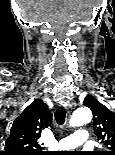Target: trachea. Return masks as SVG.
<instances>
[{
	"instance_id": "obj_1",
	"label": "trachea",
	"mask_w": 115,
	"mask_h": 155,
	"mask_svg": "<svg viewBox=\"0 0 115 155\" xmlns=\"http://www.w3.org/2000/svg\"><path fill=\"white\" fill-rule=\"evenodd\" d=\"M66 118V110L64 109H57L55 112V120L58 125H63Z\"/></svg>"
}]
</instances>
